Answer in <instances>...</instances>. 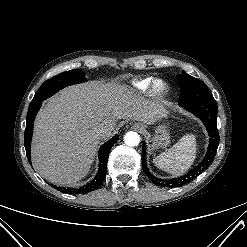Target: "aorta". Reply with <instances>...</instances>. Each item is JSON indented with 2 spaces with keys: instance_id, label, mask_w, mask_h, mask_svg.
Here are the masks:
<instances>
[{
  "instance_id": "762f6f07",
  "label": "aorta",
  "mask_w": 247,
  "mask_h": 247,
  "mask_svg": "<svg viewBox=\"0 0 247 247\" xmlns=\"http://www.w3.org/2000/svg\"><path fill=\"white\" fill-rule=\"evenodd\" d=\"M124 141L127 146H137L140 143V136L138 133L130 131L124 136Z\"/></svg>"
}]
</instances>
